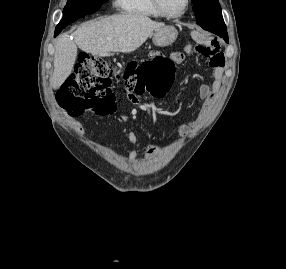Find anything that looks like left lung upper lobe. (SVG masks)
<instances>
[{"label":"left lung upper lobe","mask_w":286,"mask_h":269,"mask_svg":"<svg viewBox=\"0 0 286 269\" xmlns=\"http://www.w3.org/2000/svg\"><path fill=\"white\" fill-rule=\"evenodd\" d=\"M192 2L198 25L217 35L227 33L218 0H192Z\"/></svg>","instance_id":"1"}]
</instances>
